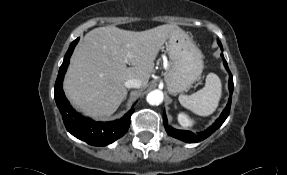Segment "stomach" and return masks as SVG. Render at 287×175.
<instances>
[{
    "instance_id": "obj_1",
    "label": "stomach",
    "mask_w": 287,
    "mask_h": 175,
    "mask_svg": "<svg viewBox=\"0 0 287 175\" xmlns=\"http://www.w3.org/2000/svg\"><path fill=\"white\" fill-rule=\"evenodd\" d=\"M167 51L171 60L165 73L167 88L171 94L186 91L203 71V55L184 31L169 36Z\"/></svg>"
}]
</instances>
